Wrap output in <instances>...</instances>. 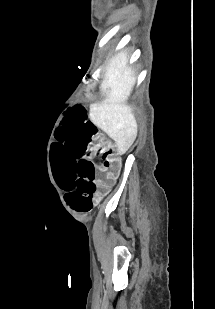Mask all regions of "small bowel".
<instances>
[{
  "label": "small bowel",
  "mask_w": 215,
  "mask_h": 309,
  "mask_svg": "<svg viewBox=\"0 0 215 309\" xmlns=\"http://www.w3.org/2000/svg\"><path fill=\"white\" fill-rule=\"evenodd\" d=\"M107 190H108V186L107 185H103V192L99 193V197H102Z\"/></svg>",
  "instance_id": "obj_1"
}]
</instances>
